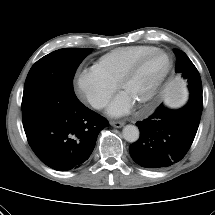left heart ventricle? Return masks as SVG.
I'll use <instances>...</instances> for the list:
<instances>
[{
	"label": "left heart ventricle",
	"mask_w": 215,
	"mask_h": 215,
	"mask_svg": "<svg viewBox=\"0 0 215 215\" xmlns=\"http://www.w3.org/2000/svg\"><path fill=\"white\" fill-rule=\"evenodd\" d=\"M167 57L156 54L149 58L138 70L137 74L122 89L130 100L139 103L151 91L167 66Z\"/></svg>",
	"instance_id": "obj_1"
}]
</instances>
